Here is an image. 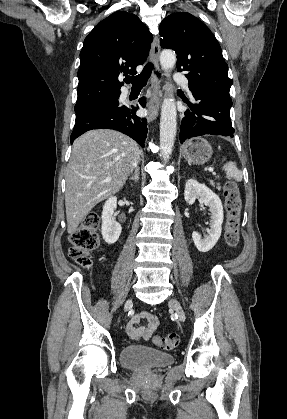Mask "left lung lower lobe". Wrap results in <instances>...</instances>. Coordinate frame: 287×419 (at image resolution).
<instances>
[{"label": "left lung lower lobe", "mask_w": 287, "mask_h": 419, "mask_svg": "<svg viewBox=\"0 0 287 419\" xmlns=\"http://www.w3.org/2000/svg\"><path fill=\"white\" fill-rule=\"evenodd\" d=\"M195 103L189 101L180 126V142L203 135L233 137L230 120L232 100L228 93L211 90H191Z\"/></svg>", "instance_id": "obj_1"}]
</instances>
